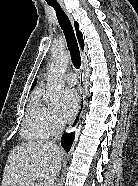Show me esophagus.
I'll use <instances>...</instances> for the list:
<instances>
[{
	"instance_id": "34e87169",
	"label": "esophagus",
	"mask_w": 138,
	"mask_h": 186,
	"mask_svg": "<svg viewBox=\"0 0 138 186\" xmlns=\"http://www.w3.org/2000/svg\"><path fill=\"white\" fill-rule=\"evenodd\" d=\"M62 6H63V4H62ZM79 92H80L79 108H78V111H77L76 115L74 116L72 122L70 123L69 127L67 128L66 132H71L77 127V125L82 117V114L84 112V107L86 104L85 73H84V71H81V73H80Z\"/></svg>"
}]
</instances>
